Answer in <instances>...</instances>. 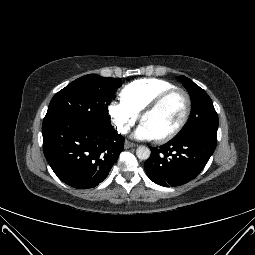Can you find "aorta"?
<instances>
[{"label": "aorta", "mask_w": 255, "mask_h": 255, "mask_svg": "<svg viewBox=\"0 0 255 255\" xmlns=\"http://www.w3.org/2000/svg\"><path fill=\"white\" fill-rule=\"evenodd\" d=\"M151 151L146 146H139L136 150V155L140 160H147L150 157Z\"/></svg>", "instance_id": "obj_1"}]
</instances>
